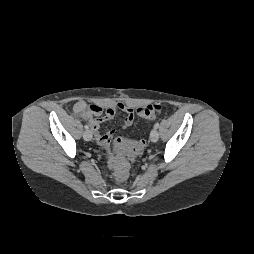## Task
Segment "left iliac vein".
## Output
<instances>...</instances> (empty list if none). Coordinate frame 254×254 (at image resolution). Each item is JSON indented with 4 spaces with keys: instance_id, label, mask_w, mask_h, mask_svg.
Listing matches in <instances>:
<instances>
[{
    "instance_id": "1",
    "label": "left iliac vein",
    "mask_w": 254,
    "mask_h": 254,
    "mask_svg": "<svg viewBox=\"0 0 254 254\" xmlns=\"http://www.w3.org/2000/svg\"><path fill=\"white\" fill-rule=\"evenodd\" d=\"M150 139L152 142H157L159 139V132L157 131V129H153L150 132Z\"/></svg>"
}]
</instances>
